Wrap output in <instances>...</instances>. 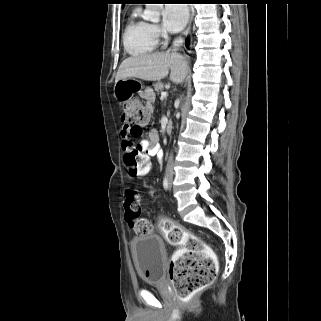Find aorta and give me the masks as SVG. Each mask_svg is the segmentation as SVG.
Listing matches in <instances>:
<instances>
[{
  "mask_svg": "<svg viewBox=\"0 0 321 321\" xmlns=\"http://www.w3.org/2000/svg\"><path fill=\"white\" fill-rule=\"evenodd\" d=\"M162 9L163 4H146V9L143 13V19L152 22H158Z\"/></svg>",
  "mask_w": 321,
  "mask_h": 321,
  "instance_id": "obj_1",
  "label": "aorta"
}]
</instances>
